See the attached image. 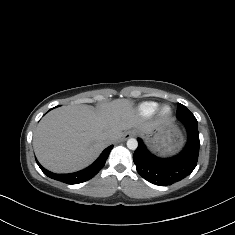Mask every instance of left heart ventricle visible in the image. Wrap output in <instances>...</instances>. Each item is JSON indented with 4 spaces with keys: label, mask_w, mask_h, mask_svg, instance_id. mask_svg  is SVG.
Wrapping results in <instances>:
<instances>
[{
    "label": "left heart ventricle",
    "mask_w": 235,
    "mask_h": 235,
    "mask_svg": "<svg viewBox=\"0 0 235 235\" xmlns=\"http://www.w3.org/2000/svg\"><path fill=\"white\" fill-rule=\"evenodd\" d=\"M165 113H167V114L169 113V108L165 109Z\"/></svg>",
    "instance_id": "left-heart-ventricle-1"
}]
</instances>
